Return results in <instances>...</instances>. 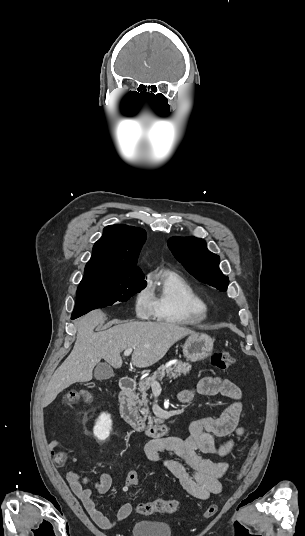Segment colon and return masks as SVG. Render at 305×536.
<instances>
[{
    "label": "colon",
    "mask_w": 305,
    "mask_h": 536,
    "mask_svg": "<svg viewBox=\"0 0 305 536\" xmlns=\"http://www.w3.org/2000/svg\"><path fill=\"white\" fill-rule=\"evenodd\" d=\"M211 362L217 369L227 370L234 364L235 359L233 356H231L227 352L215 351L211 356ZM79 399L90 401L91 396L86 391H83V390L82 391L72 390V391H69L65 395V401L68 404H72ZM255 451H256V444H254L251 447L245 461L243 462L237 474L239 478L243 477L250 469V466L252 464V461L255 455ZM55 460L57 462H63L65 460V453L63 451H59L56 454ZM131 474L133 476H136L138 474V471L136 469H133L131 471ZM132 475H129L126 480V483L129 486H134L136 484V479ZM134 508L140 514H155V513L172 514L177 510L178 502L176 500H171V499L156 498L147 502H138L134 505ZM217 512H218V505L214 503L208 506L203 516L205 518H210L214 516Z\"/></svg>",
    "instance_id": "obj_1"
}]
</instances>
